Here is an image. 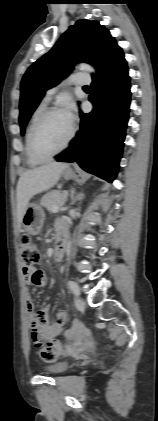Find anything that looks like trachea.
<instances>
[{"instance_id": "3493384b", "label": "trachea", "mask_w": 158, "mask_h": 421, "mask_svg": "<svg viewBox=\"0 0 158 421\" xmlns=\"http://www.w3.org/2000/svg\"><path fill=\"white\" fill-rule=\"evenodd\" d=\"M84 88H89V86H84Z\"/></svg>"}]
</instances>
